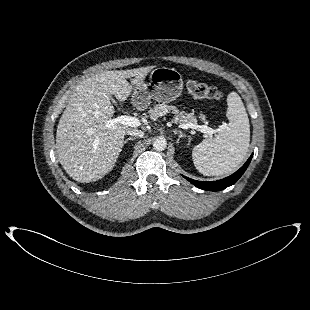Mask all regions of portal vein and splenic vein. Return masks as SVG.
<instances>
[{"mask_svg": "<svg viewBox=\"0 0 310 310\" xmlns=\"http://www.w3.org/2000/svg\"><path fill=\"white\" fill-rule=\"evenodd\" d=\"M118 123L123 124V125H128L130 127H138L140 125V121L136 117L121 115L116 118L109 119L106 122V127L111 128ZM179 127L183 129H187V128L197 129L201 131L202 133L208 134L209 136H212L215 132H217V130H214L211 127H207L205 125H196L193 123L180 124ZM223 127L224 126H221V128Z\"/></svg>", "mask_w": 310, "mask_h": 310, "instance_id": "1", "label": "portal vein and splenic vein"}]
</instances>
